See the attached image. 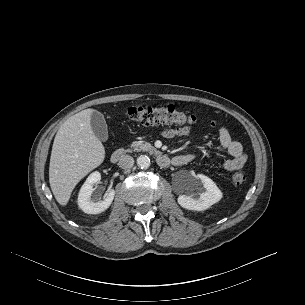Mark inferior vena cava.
I'll return each mask as SVG.
<instances>
[{
    "instance_id": "inferior-vena-cava-1",
    "label": "inferior vena cava",
    "mask_w": 305,
    "mask_h": 305,
    "mask_svg": "<svg viewBox=\"0 0 305 305\" xmlns=\"http://www.w3.org/2000/svg\"><path fill=\"white\" fill-rule=\"evenodd\" d=\"M118 165L122 169H131L134 165V159L129 155H124L120 158Z\"/></svg>"
}]
</instances>
